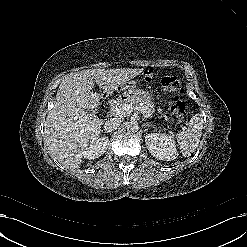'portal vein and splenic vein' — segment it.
<instances>
[{
  "mask_svg": "<svg viewBox=\"0 0 247 247\" xmlns=\"http://www.w3.org/2000/svg\"><path fill=\"white\" fill-rule=\"evenodd\" d=\"M133 111L130 105H123V106H113L110 110V113L116 117H125Z\"/></svg>",
  "mask_w": 247,
  "mask_h": 247,
  "instance_id": "18ae733b",
  "label": "portal vein and splenic vein"
}]
</instances>
